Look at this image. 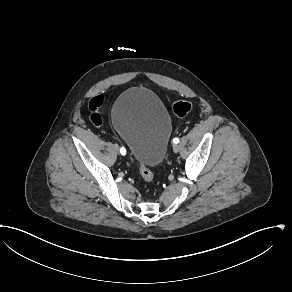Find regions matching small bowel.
Instances as JSON below:
<instances>
[{
  "label": "small bowel",
  "mask_w": 292,
  "mask_h": 292,
  "mask_svg": "<svg viewBox=\"0 0 292 292\" xmlns=\"http://www.w3.org/2000/svg\"><path fill=\"white\" fill-rule=\"evenodd\" d=\"M108 93H111V90H108Z\"/></svg>",
  "instance_id": "small-bowel-1"
}]
</instances>
